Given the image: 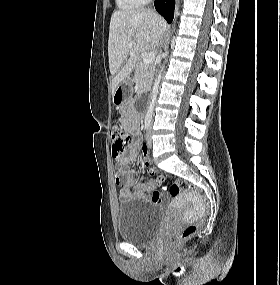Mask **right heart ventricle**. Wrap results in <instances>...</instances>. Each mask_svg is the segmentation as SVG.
I'll return each instance as SVG.
<instances>
[{
    "instance_id": "e07e8e85",
    "label": "right heart ventricle",
    "mask_w": 280,
    "mask_h": 285,
    "mask_svg": "<svg viewBox=\"0 0 280 285\" xmlns=\"http://www.w3.org/2000/svg\"><path fill=\"white\" fill-rule=\"evenodd\" d=\"M147 0H116L117 6L122 10H133L143 6Z\"/></svg>"
}]
</instances>
